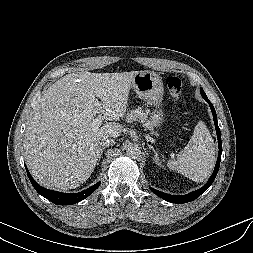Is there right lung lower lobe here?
I'll return each instance as SVG.
<instances>
[{
	"instance_id": "1",
	"label": "right lung lower lobe",
	"mask_w": 253,
	"mask_h": 253,
	"mask_svg": "<svg viewBox=\"0 0 253 253\" xmlns=\"http://www.w3.org/2000/svg\"><path fill=\"white\" fill-rule=\"evenodd\" d=\"M27 175L29 177L30 182L32 183L33 187L35 190L42 195L43 197L47 198L51 202L58 204V205H71L75 204L86 197H88L94 190H96L99 187V182L96 183L95 185L91 186L90 188L81 191L79 193H73V194H66V193H61L53 190H49L46 188L41 187L38 185L34 179L31 177L27 167L25 166Z\"/></svg>"
}]
</instances>
